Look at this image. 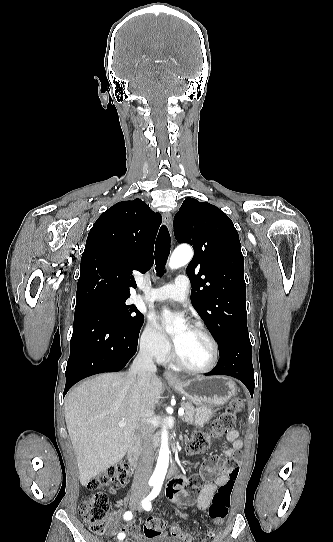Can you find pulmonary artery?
Segmentation results:
<instances>
[{
  "instance_id": "pulmonary-artery-1",
  "label": "pulmonary artery",
  "mask_w": 333,
  "mask_h": 542,
  "mask_svg": "<svg viewBox=\"0 0 333 542\" xmlns=\"http://www.w3.org/2000/svg\"><path fill=\"white\" fill-rule=\"evenodd\" d=\"M175 286L172 284V282L163 285L162 287L158 288L156 287L154 290L156 292L160 291L161 295H158L155 293L154 295L151 293L149 296L152 298V300L157 302H177L181 304H185L188 296H189V285L186 282V276L183 274H176L175 275ZM148 292L151 290L149 287L146 289Z\"/></svg>"
}]
</instances>
